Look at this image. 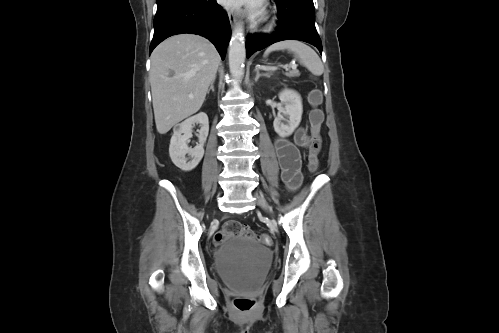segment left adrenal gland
I'll return each instance as SVG.
<instances>
[{"label":"left adrenal gland","instance_id":"1","mask_svg":"<svg viewBox=\"0 0 499 333\" xmlns=\"http://www.w3.org/2000/svg\"><path fill=\"white\" fill-rule=\"evenodd\" d=\"M254 71L256 72L255 82H257V81H258V79H259L260 77H269V76H268V75H266V74H261V73L259 72V69H257V68H256Z\"/></svg>","mask_w":499,"mask_h":333}]
</instances>
